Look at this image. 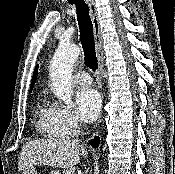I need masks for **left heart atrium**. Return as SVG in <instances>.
I'll return each mask as SVG.
<instances>
[{
    "instance_id": "1",
    "label": "left heart atrium",
    "mask_w": 175,
    "mask_h": 174,
    "mask_svg": "<svg viewBox=\"0 0 175 174\" xmlns=\"http://www.w3.org/2000/svg\"><path fill=\"white\" fill-rule=\"evenodd\" d=\"M79 116L86 122L94 121L100 112L101 98L99 93L91 88L80 90L76 95Z\"/></svg>"
}]
</instances>
